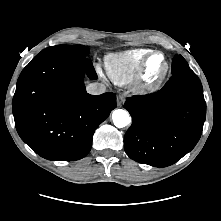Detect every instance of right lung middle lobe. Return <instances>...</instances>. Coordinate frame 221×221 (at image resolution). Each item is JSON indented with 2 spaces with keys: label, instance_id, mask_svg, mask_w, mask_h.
I'll return each mask as SVG.
<instances>
[{
  "label": "right lung middle lobe",
  "instance_id": "dd1d6c3e",
  "mask_svg": "<svg viewBox=\"0 0 221 221\" xmlns=\"http://www.w3.org/2000/svg\"><path fill=\"white\" fill-rule=\"evenodd\" d=\"M88 53L89 49L84 45H56L42 50L37 56L50 54L58 56L86 57Z\"/></svg>",
  "mask_w": 221,
  "mask_h": 221
}]
</instances>
